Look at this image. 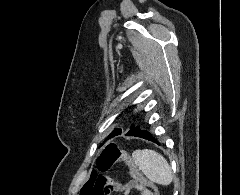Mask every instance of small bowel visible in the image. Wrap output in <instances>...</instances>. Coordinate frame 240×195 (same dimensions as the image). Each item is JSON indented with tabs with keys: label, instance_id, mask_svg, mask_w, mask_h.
<instances>
[{
	"label": "small bowel",
	"instance_id": "obj_1",
	"mask_svg": "<svg viewBox=\"0 0 240 195\" xmlns=\"http://www.w3.org/2000/svg\"><path fill=\"white\" fill-rule=\"evenodd\" d=\"M140 177V176H138ZM150 186H141L140 182H133V178L123 185V195H131V193L136 190L140 195H148L146 189Z\"/></svg>",
	"mask_w": 240,
	"mask_h": 195
}]
</instances>
